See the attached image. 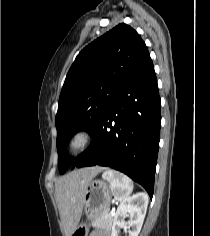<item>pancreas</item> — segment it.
<instances>
[{"label": "pancreas", "instance_id": "cf45deb5", "mask_svg": "<svg viewBox=\"0 0 210 236\" xmlns=\"http://www.w3.org/2000/svg\"><path fill=\"white\" fill-rule=\"evenodd\" d=\"M113 220H114L113 215L109 214L108 211H104L93 220L92 226L100 227L104 229H110L112 226Z\"/></svg>", "mask_w": 210, "mask_h": 236}]
</instances>
